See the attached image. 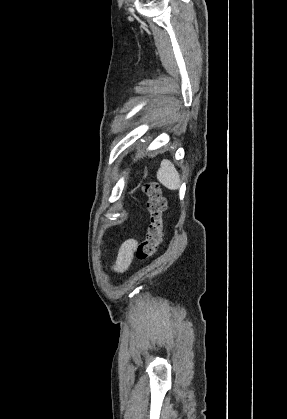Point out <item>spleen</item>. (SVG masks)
I'll use <instances>...</instances> for the list:
<instances>
[{"instance_id":"1","label":"spleen","mask_w":287,"mask_h":419,"mask_svg":"<svg viewBox=\"0 0 287 419\" xmlns=\"http://www.w3.org/2000/svg\"><path fill=\"white\" fill-rule=\"evenodd\" d=\"M157 179L170 190H177L180 187V175L172 162L167 159L162 160Z\"/></svg>"}]
</instances>
